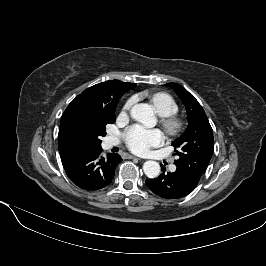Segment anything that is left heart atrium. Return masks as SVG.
<instances>
[{
	"label": "left heart atrium",
	"instance_id": "1",
	"mask_svg": "<svg viewBox=\"0 0 266 266\" xmlns=\"http://www.w3.org/2000/svg\"><path fill=\"white\" fill-rule=\"evenodd\" d=\"M125 140L133 152L145 154L151 147L159 146L163 142V134L159 130L134 125L127 130Z\"/></svg>",
	"mask_w": 266,
	"mask_h": 266
}]
</instances>
